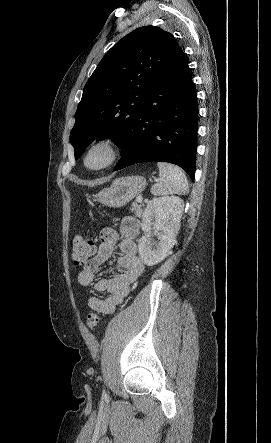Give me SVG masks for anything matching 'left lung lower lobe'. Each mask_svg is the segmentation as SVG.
<instances>
[{
    "label": "left lung lower lobe",
    "mask_w": 271,
    "mask_h": 443,
    "mask_svg": "<svg viewBox=\"0 0 271 443\" xmlns=\"http://www.w3.org/2000/svg\"><path fill=\"white\" fill-rule=\"evenodd\" d=\"M145 109L114 170L161 161L182 167L194 180L198 108L194 83L179 46L151 81Z\"/></svg>",
    "instance_id": "obj_1"
}]
</instances>
